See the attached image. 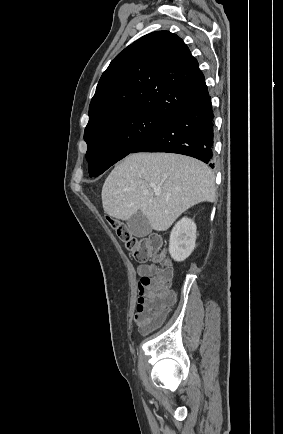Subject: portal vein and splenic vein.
Instances as JSON below:
<instances>
[{
  "label": "portal vein and splenic vein",
  "mask_w": 283,
  "mask_h": 434,
  "mask_svg": "<svg viewBox=\"0 0 283 434\" xmlns=\"http://www.w3.org/2000/svg\"><path fill=\"white\" fill-rule=\"evenodd\" d=\"M155 195L159 196L160 195V190H155Z\"/></svg>",
  "instance_id": "obj_1"
}]
</instances>
